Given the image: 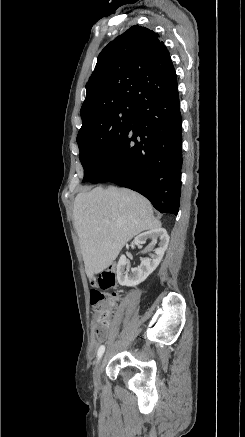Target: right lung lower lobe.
Listing matches in <instances>:
<instances>
[{"instance_id": "1", "label": "right lung lower lobe", "mask_w": 245, "mask_h": 437, "mask_svg": "<svg viewBox=\"0 0 245 437\" xmlns=\"http://www.w3.org/2000/svg\"><path fill=\"white\" fill-rule=\"evenodd\" d=\"M182 118L177 88L140 101L110 155L86 178L139 192L161 213L178 214Z\"/></svg>"}]
</instances>
